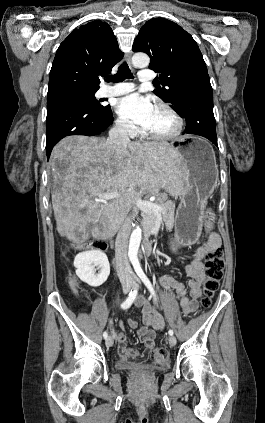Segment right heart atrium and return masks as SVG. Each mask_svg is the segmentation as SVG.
<instances>
[{
  "instance_id": "d8ad5b80",
  "label": "right heart atrium",
  "mask_w": 265,
  "mask_h": 423,
  "mask_svg": "<svg viewBox=\"0 0 265 423\" xmlns=\"http://www.w3.org/2000/svg\"><path fill=\"white\" fill-rule=\"evenodd\" d=\"M115 127L119 132L128 136H134L137 133L136 126L130 121L121 117L117 118Z\"/></svg>"
}]
</instances>
